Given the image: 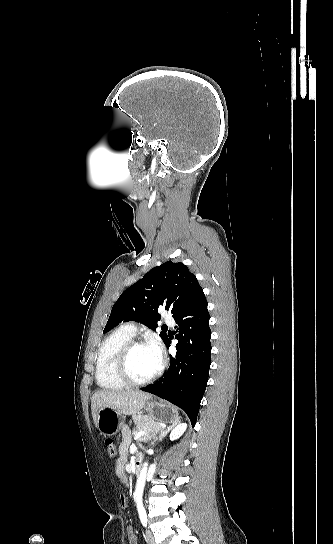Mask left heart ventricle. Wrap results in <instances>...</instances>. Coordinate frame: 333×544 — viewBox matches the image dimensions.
Instances as JSON below:
<instances>
[{"instance_id":"left-heart-ventricle-1","label":"left heart ventricle","mask_w":333,"mask_h":544,"mask_svg":"<svg viewBox=\"0 0 333 544\" xmlns=\"http://www.w3.org/2000/svg\"><path fill=\"white\" fill-rule=\"evenodd\" d=\"M160 361L157 359L150 345L137 346L129 358V371L136 380L150 377L158 369Z\"/></svg>"}]
</instances>
